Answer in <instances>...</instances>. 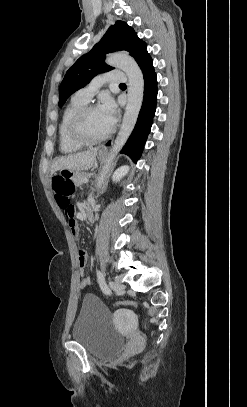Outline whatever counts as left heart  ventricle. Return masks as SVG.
I'll return each mask as SVG.
<instances>
[{
  "instance_id": "left-heart-ventricle-1",
  "label": "left heart ventricle",
  "mask_w": 247,
  "mask_h": 407,
  "mask_svg": "<svg viewBox=\"0 0 247 407\" xmlns=\"http://www.w3.org/2000/svg\"><path fill=\"white\" fill-rule=\"evenodd\" d=\"M111 127L106 122L99 108L88 112L83 121L84 133L90 138H99L106 134Z\"/></svg>"
}]
</instances>
